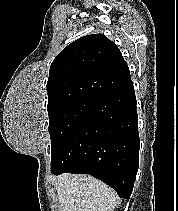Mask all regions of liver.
<instances>
[{
  "label": "liver",
  "mask_w": 178,
  "mask_h": 211,
  "mask_svg": "<svg viewBox=\"0 0 178 211\" xmlns=\"http://www.w3.org/2000/svg\"><path fill=\"white\" fill-rule=\"evenodd\" d=\"M56 191L61 211H113L117 204L112 188L85 174L58 176Z\"/></svg>",
  "instance_id": "6515ba94"
}]
</instances>
